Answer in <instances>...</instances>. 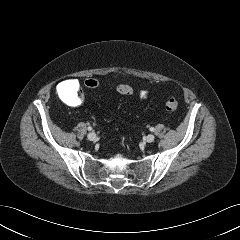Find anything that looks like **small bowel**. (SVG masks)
I'll use <instances>...</instances> for the list:
<instances>
[{"label": "small bowel", "mask_w": 240, "mask_h": 240, "mask_svg": "<svg viewBox=\"0 0 240 240\" xmlns=\"http://www.w3.org/2000/svg\"><path fill=\"white\" fill-rule=\"evenodd\" d=\"M72 82V84L74 85V90H65L64 92H62L61 88L60 91L61 93L70 101L74 102V103H80L83 99L82 95L79 94V83L76 80H70Z\"/></svg>", "instance_id": "obj_1"}]
</instances>
